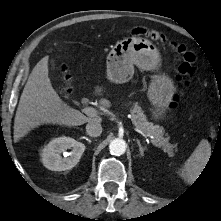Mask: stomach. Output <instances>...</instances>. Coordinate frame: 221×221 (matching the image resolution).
Segmentation results:
<instances>
[{"instance_id": "obj_1", "label": "stomach", "mask_w": 221, "mask_h": 221, "mask_svg": "<svg viewBox=\"0 0 221 221\" xmlns=\"http://www.w3.org/2000/svg\"><path fill=\"white\" fill-rule=\"evenodd\" d=\"M160 54L155 45L145 38H126L116 43L107 56V78L113 83L128 82L134 74V65L143 70H155L160 65ZM174 93L172 81L155 76L148 89V98L156 107L155 116L164 114Z\"/></svg>"}]
</instances>
